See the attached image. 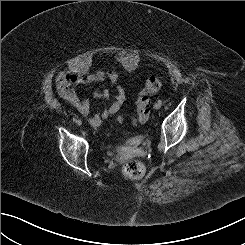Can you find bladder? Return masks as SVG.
Segmentation results:
<instances>
[{
    "label": "bladder",
    "instance_id": "bladder-1",
    "mask_svg": "<svg viewBox=\"0 0 245 245\" xmlns=\"http://www.w3.org/2000/svg\"><path fill=\"white\" fill-rule=\"evenodd\" d=\"M135 146L134 141L132 140L128 145L127 148L123 151V153H128L130 151L131 148H133Z\"/></svg>",
    "mask_w": 245,
    "mask_h": 245
}]
</instances>
